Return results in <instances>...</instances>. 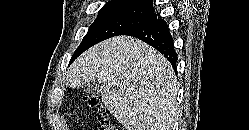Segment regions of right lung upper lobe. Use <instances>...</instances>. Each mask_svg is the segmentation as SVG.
I'll return each instance as SVG.
<instances>
[{
  "label": "right lung upper lobe",
  "mask_w": 249,
  "mask_h": 130,
  "mask_svg": "<svg viewBox=\"0 0 249 130\" xmlns=\"http://www.w3.org/2000/svg\"><path fill=\"white\" fill-rule=\"evenodd\" d=\"M118 5L136 7L147 11L154 12L152 0H112L105 5Z\"/></svg>",
  "instance_id": "1"
}]
</instances>
